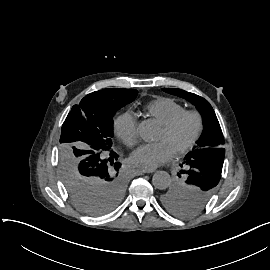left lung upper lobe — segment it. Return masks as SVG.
Listing matches in <instances>:
<instances>
[{
	"instance_id": "1",
	"label": "left lung upper lobe",
	"mask_w": 270,
	"mask_h": 270,
	"mask_svg": "<svg viewBox=\"0 0 270 270\" xmlns=\"http://www.w3.org/2000/svg\"><path fill=\"white\" fill-rule=\"evenodd\" d=\"M163 91L185 98L202 115L203 131L185 157L178 179L162 190L160 202L170 213L193 217L203 212L216 191L221 178L225 149L224 138L215 112L204 98L181 89L163 88Z\"/></svg>"
}]
</instances>
